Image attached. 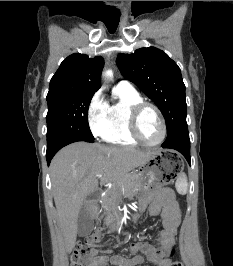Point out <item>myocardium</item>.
<instances>
[{
	"instance_id": "obj_1",
	"label": "myocardium",
	"mask_w": 233,
	"mask_h": 266,
	"mask_svg": "<svg viewBox=\"0 0 233 266\" xmlns=\"http://www.w3.org/2000/svg\"><path fill=\"white\" fill-rule=\"evenodd\" d=\"M146 108H151L153 109L159 120L161 123V127H162V133H161V137L159 138L158 141L154 142V143H150L145 141L139 132V127H138V123H139V118L141 113L143 112L144 109ZM128 126H129V132L131 137L139 144H142L144 146L147 147H156L161 145L167 135V125H166V121L165 118L161 112V110L153 103L151 102H147V101H140L138 103L133 104L130 108H129V113H128Z\"/></svg>"
}]
</instances>
